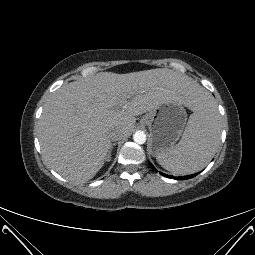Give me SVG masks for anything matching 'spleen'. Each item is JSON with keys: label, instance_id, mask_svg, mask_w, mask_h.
I'll return each instance as SVG.
<instances>
[{"label": "spleen", "instance_id": "obj_1", "mask_svg": "<svg viewBox=\"0 0 255 255\" xmlns=\"http://www.w3.org/2000/svg\"><path fill=\"white\" fill-rule=\"evenodd\" d=\"M221 133L220 115L209 95H203L190 115L181 140L157 155V162L167 171L186 175L204 168L213 157Z\"/></svg>", "mask_w": 255, "mask_h": 255}]
</instances>
